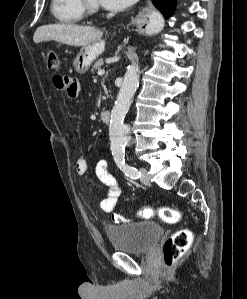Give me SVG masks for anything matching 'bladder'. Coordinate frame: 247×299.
I'll use <instances>...</instances> for the list:
<instances>
[{
  "instance_id": "obj_1",
  "label": "bladder",
  "mask_w": 247,
  "mask_h": 299,
  "mask_svg": "<svg viewBox=\"0 0 247 299\" xmlns=\"http://www.w3.org/2000/svg\"><path fill=\"white\" fill-rule=\"evenodd\" d=\"M106 233L114 250L146 254L158 243L164 229L156 222L144 221L111 226Z\"/></svg>"
}]
</instances>
